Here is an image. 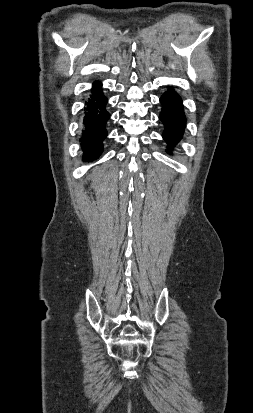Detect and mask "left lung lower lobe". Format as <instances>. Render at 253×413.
Returning a JSON list of instances; mask_svg holds the SVG:
<instances>
[{"instance_id":"1","label":"left lung lower lobe","mask_w":253,"mask_h":413,"mask_svg":"<svg viewBox=\"0 0 253 413\" xmlns=\"http://www.w3.org/2000/svg\"><path fill=\"white\" fill-rule=\"evenodd\" d=\"M162 112L159 119L165 126L163 138L169 145L168 152L182 138L186 124L181 98L172 90H168L160 98Z\"/></svg>"}]
</instances>
